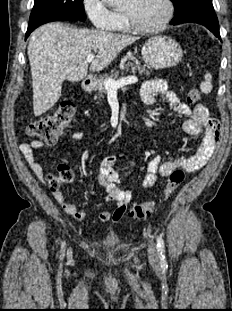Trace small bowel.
I'll return each mask as SVG.
<instances>
[{
    "label": "small bowel",
    "instance_id": "obj_1",
    "mask_svg": "<svg viewBox=\"0 0 232 311\" xmlns=\"http://www.w3.org/2000/svg\"><path fill=\"white\" fill-rule=\"evenodd\" d=\"M141 98L144 104L153 106L157 104L159 98H163L168 105L181 116L187 119L183 123V130L190 135H202V141L195 154L189 157H177L173 160L162 162L160 156H154L147 165L146 171L142 177V186L152 188L159 176L167 177L172 171L182 169L187 172H193L202 168L212 153L214 152L220 137V123L216 119L209 117L208 110L201 104L190 107L182 101L176 94L168 90L165 80L153 79L147 81L141 89ZM84 133L74 131L70 138L74 141L84 139ZM44 143L41 140H31L20 146V151L26 162L37 176V178L47 184L48 176L43 166L36 160L34 150L42 148ZM122 155H110L103 159L100 168V174L97 176V182L106 191L105 200L115 202L116 208L113 211L105 210L98 214L97 219L100 222L118 223L126 210L127 205L132 201L133 194L130 190L121 189L120 170L116 163ZM53 197L61 204L66 214L76 220H83L86 212L78 209L75 204L67 202L61 191L52 190Z\"/></svg>",
    "mask_w": 232,
    "mask_h": 311
}]
</instances>
